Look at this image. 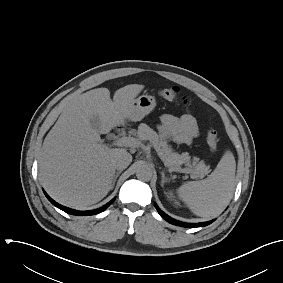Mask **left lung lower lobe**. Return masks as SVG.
<instances>
[{
  "instance_id": "0a47b994",
  "label": "left lung lower lobe",
  "mask_w": 283,
  "mask_h": 283,
  "mask_svg": "<svg viewBox=\"0 0 283 283\" xmlns=\"http://www.w3.org/2000/svg\"><path fill=\"white\" fill-rule=\"evenodd\" d=\"M155 208L157 209V211L161 215V217H163L166 221H168L171 224L178 225V226L194 228V227L206 226V225H209L210 223L213 222V221H209V222H202V223H183V222L177 221V220L169 217L156 204H155Z\"/></svg>"
}]
</instances>
